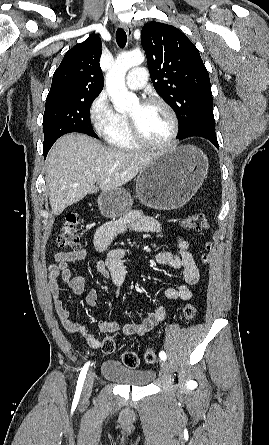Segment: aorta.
<instances>
[{
    "mask_svg": "<svg viewBox=\"0 0 269 445\" xmlns=\"http://www.w3.org/2000/svg\"><path fill=\"white\" fill-rule=\"evenodd\" d=\"M145 57L139 51L120 54L106 76V88L114 108L124 112L138 105L137 96L129 92L125 86L126 72L144 62Z\"/></svg>",
    "mask_w": 269,
    "mask_h": 445,
    "instance_id": "aorta-1",
    "label": "aorta"
}]
</instances>
